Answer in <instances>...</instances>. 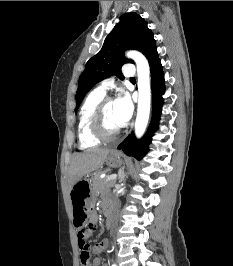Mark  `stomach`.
<instances>
[{
  "label": "stomach",
  "instance_id": "1",
  "mask_svg": "<svg viewBox=\"0 0 233 266\" xmlns=\"http://www.w3.org/2000/svg\"><path fill=\"white\" fill-rule=\"evenodd\" d=\"M106 164L110 167H117L123 164L124 156L121 152L111 151L107 158ZM93 188L91 178L89 176L80 179L71 189V199L74 203V209H71L73 214L74 228H87L89 225L88 212L89 199H93Z\"/></svg>",
  "mask_w": 233,
  "mask_h": 266
}]
</instances>
